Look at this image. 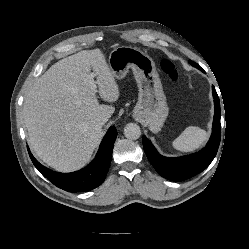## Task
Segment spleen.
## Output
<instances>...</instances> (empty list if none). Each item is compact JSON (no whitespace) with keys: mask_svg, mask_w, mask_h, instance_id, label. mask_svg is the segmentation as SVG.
<instances>
[{"mask_svg":"<svg viewBox=\"0 0 249 249\" xmlns=\"http://www.w3.org/2000/svg\"><path fill=\"white\" fill-rule=\"evenodd\" d=\"M206 139L207 133L205 130L200 127L189 126L173 141V147L182 152H191L198 149Z\"/></svg>","mask_w":249,"mask_h":249,"instance_id":"obj_1","label":"spleen"}]
</instances>
